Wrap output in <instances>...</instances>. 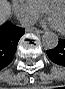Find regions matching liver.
I'll list each match as a JSON object with an SVG mask.
<instances>
[{
    "label": "liver",
    "instance_id": "liver-1",
    "mask_svg": "<svg viewBox=\"0 0 65 89\" xmlns=\"http://www.w3.org/2000/svg\"><path fill=\"white\" fill-rule=\"evenodd\" d=\"M10 14V6L8 3L1 1L0 2V19L3 22L6 17Z\"/></svg>",
    "mask_w": 65,
    "mask_h": 89
}]
</instances>
